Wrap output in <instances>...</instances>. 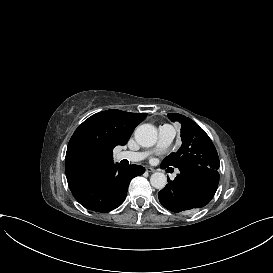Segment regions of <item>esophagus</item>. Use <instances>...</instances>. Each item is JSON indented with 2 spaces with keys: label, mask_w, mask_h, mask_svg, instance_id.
Wrapping results in <instances>:
<instances>
[{
  "label": "esophagus",
  "mask_w": 273,
  "mask_h": 273,
  "mask_svg": "<svg viewBox=\"0 0 273 273\" xmlns=\"http://www.w3.org/2000/svg\"><path fill=\"white\" fill-rule=\"evenodd\" d=\"M146 171H147L148 173H153V172H155V169H153V168H151V167H147V168H146Z\"/></svg>",
  "instance_id": "obj_1"
}]
</instances>
